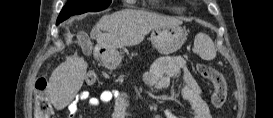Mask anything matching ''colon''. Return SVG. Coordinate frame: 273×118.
<instances>
[{
    "mask_svg": "<svg viewBox=\"0 0 273 118\" xmlns=\"http://www.w3.org/2000/svg\"><path fill=\"white\" fill-rule=\"evenodd\" d=\"M197 71L203 78L210 80L213 84L214 90L211 98L213 107H222L227 96V85L223 75L207 64H198ZM96 81L97 75L94 72H89L85 77V82L89 86H93ZM47 85V80L44 77H39L35 82L36 118H50L52 116V105L47 96Z\"/></svg>",
    "mask_w": 273,
    "mask_h": 118,
    "instance_id": "1",
    "label": "colon"
}]
</instances>
